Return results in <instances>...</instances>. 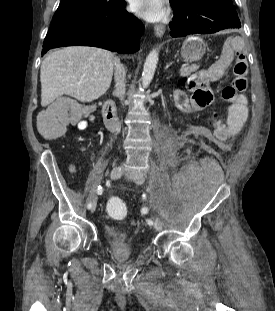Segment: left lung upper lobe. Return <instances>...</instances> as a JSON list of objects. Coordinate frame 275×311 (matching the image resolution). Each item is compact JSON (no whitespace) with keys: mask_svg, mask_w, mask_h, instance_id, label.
Wrapping results in <instances>:
<instances>
[{"mask_svg":"<svg viewBox=\"0 0 275 311\" xmlns=\"http://www.w3.org/2000/svg\"><path fill=\"white\" fill-rule=\"evenodd\" d=\"M170 1L178 2L180 5H186V4H190L191 2L195 0H170ZM215 1L228 3L233 6L232 0H215Z\"/></svg>","mask_w":275,"mask_h":311,"instance_id":"5c2ea615","label":"left lung upper lobe"}]
</instances>
